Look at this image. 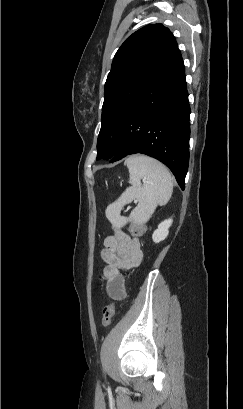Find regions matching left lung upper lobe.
<instances>
[{"label": "left lung upper lobe", "mask_w": 243, "mask_h": 409, "mask_svg": "<svg viewBox=\"0 0 243 409\" xmlns=\"http://www.w3.org/2000/svg\"><path fill=\"white\" fill-rule=\"evenodd\" d=\"M177 48L171 31L162 24H155L133 33L118 49L105 83L97 159L113 157L127 115Z\"/></svg>", "instance_id": "left-lung-upper-lobe-1"}]
</instances>
